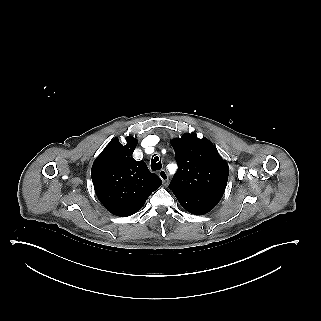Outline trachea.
Wrapping results in <instances>:
<instances>
[{
	"mask_svg": "<svg viewBox=\"0 0 321 321\" xmlns=\"http://www.w3.org/2000/svg\"><path fill=\"white\" fill-rule=\"evenodd\" d=\"M162 168L161 160H159V157L156 155L152 156L151 159V169L153 171L160 170Z\"/></svg>",
	"mask_w": 321,
	"mask_h": 321,
	"instance_id": "3493384b",
	"label": "trachea"
}]
</instances>
